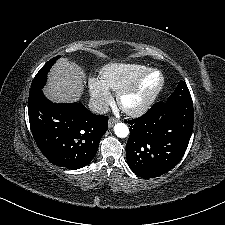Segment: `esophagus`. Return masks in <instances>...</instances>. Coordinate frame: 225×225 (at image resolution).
<instances>
[{"label":"esophagus","instance_id":"34e87169","mask_svg":"<svg viewBox=\"0 0 225 225\" xmlns=\"http://www.w3.org/2000/svg\"><path fill=\"white\" fill-rule=\"evenodd\" d=\"M117 122H118V119L111 117L108 121L109 128H112Z\"/></svg>","mask_w":225,"mask_h":225}]
</instances>
